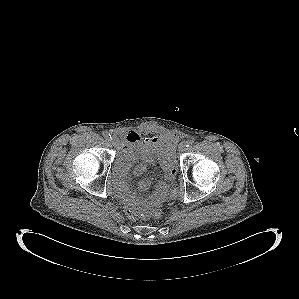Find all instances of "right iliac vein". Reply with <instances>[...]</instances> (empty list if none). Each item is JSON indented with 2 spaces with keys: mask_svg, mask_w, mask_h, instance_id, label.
<instances>
[{
  "mask_svg": "<svg viewBox=\"0 0 299 299\" xmlns=\"http://www.w3.org/2000/svg\"><path fill=\"white\" fill-rule=\"evenodd\" d=\"M110 142L112 143V145H116L118 143V138L116 135H112V137L110 138Z\"/></svg>",
  "mask_w": 299,
  "mask_h": 299,
  "instance_id": "obj_1",
  "label": "right iliac vein"
}]
</instances>
